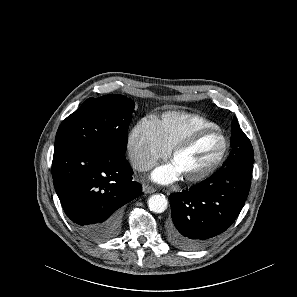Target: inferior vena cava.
I'll list each match as a JSON object with an SVG mask.
<instances>
[{
    "label": "inferior vena cava",
    "mask_w": 297,
    "mask_h": 297,
    "mask_svg": "<svg viewBox=\"0 0 297 297\" xmlns=\"http://www.w3.org/2000/svg\"><path fill=\"white\" fill-rule=\"evenodd\" d=\"M132 166L137 171H148L153 168L154 164L152 161L146 159H138L132 161Z\"/></svg>",
    "instance_id": "obj_1"
}]
</instances>
